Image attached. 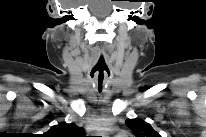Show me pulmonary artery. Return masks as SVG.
Returning <instances> with one entry per match:
<instances>
[{
  "mask_svg": "<svg viewBox=\"0 0 206 137\" xmlns=\"http://www.w3.org/2000/svg\"><path fill=\"white\" fill-rule=\"evenodd\" d=\"M115 137H126V135L123 134V133H119V134H117Z\"/></svg>",
  "mask_w": 206,
  "mask_h": 137,
  "instance_id": "pulmonary-artery-1",
  "label": "pulmonary artery"
}]
</instances>
